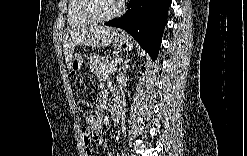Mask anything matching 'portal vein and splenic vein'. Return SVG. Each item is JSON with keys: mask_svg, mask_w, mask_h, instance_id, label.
I'll list each match as a JSON object with an SVG mask.
<instances>
[{"mask_svg": "<svg viewBox=\"0 0 247 156\" xmlns=\"http://www.w3.org/2000/svg\"><path fill=\"white\" fill-rule=\"evenodd\" d=\"M120 62H121V59L119 58L115 60V64L120 63Z\"/></svg>", "mask_w": 247, "mask_h": 156, "instance_id": "1", "label": "portal vein and splenic vein"}]
</instances>
